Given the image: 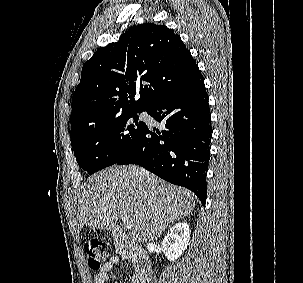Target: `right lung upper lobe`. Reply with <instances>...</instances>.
Wrapping results in <instances>:
<instances>
[{
	"instance_id": "right-lung-upper-lobe-1",
	"label": "right lung upper lobe",
	"mask_w": 303,
	"mask_h": 283,
	"mask_svg": "<svg viewBox=\"0 0 303 283\" xmlns=\"http://www.w3.org/2000/svg\"><path fill=\"white\" fill-rule=\"evenodd\" d=\"M200 74L190 51L171 29L155 23L134 26L84 64L72 98L71 134L145 111Z\"/></svg>"
}]
</instances>
